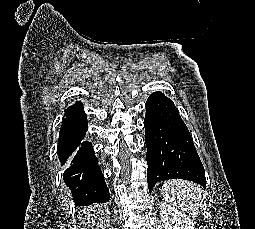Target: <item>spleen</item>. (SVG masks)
<instances>
[{
    "label": "spleen",
    "instance_id": "3e777b00",
    "mask_svg": "<svg viewBox=\"0 0 255 229\" xmlns=\"http://www.w3.org/2000/svg\"><path fill=\"white\" fill-rule=\"evenodd\" d=\"M162 195L171 205L188 211L196 216L201 207L202 190L194 182L186 180H168L162 186Z\"/></svg>",
    "mask_w": 255,
    "mask_h": 229
}]
</instances>
